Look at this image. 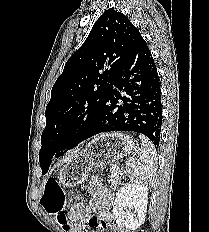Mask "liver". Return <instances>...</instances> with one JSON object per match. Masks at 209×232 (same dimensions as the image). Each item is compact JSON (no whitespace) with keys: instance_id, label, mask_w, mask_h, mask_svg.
<instances>
[{"instance_id":"liver-1","label":"liver","mask_w":209,"mask_h":232,"mask_svg":"<svg viewBox=\"0 0 209 232\" xmlns=\"http://www.w3.org/2000/svg\"><path fill=\"white\" fill-rule=\"evenodd\" d=\"M75 153H76V151L71 152V153L68 155V157L65 159V161L68 160V159H70Z\"/></svg>"}]
</instances>
